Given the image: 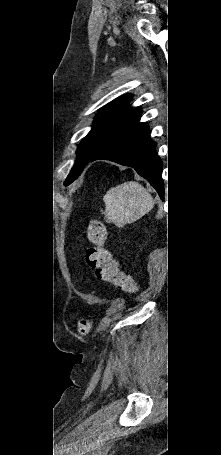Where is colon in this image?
<instances>
[{
    "instance_id": "5ec220e1",
    "label": "colon",
    "mask_w": 221,
    "mask_h": 455,
    "mask_svg": "<svg viewBox=\"0 0 221 455\" xmlns=\"http://www.w3.org/2000/svg\"><path fill=\"white\" fill-rule=\"evenodd\" d=\"M88 238L91 247L87 250L86 260L88 265L95 271L98 280L113 284L118 290L124 292L136 291V282L132 276L119 269L118 263L105 247L106 231L104 224L99 219H93L88 227ZM91 324L83 318L79 322L78 330L81 334L89 332Z\"/></svg>"
}]
</instances>
